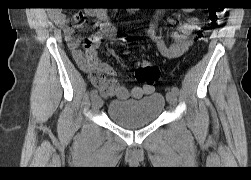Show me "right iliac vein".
Here are the masks:
<instances>
[{
	"instance_id": "right-iliac-vein-1",
	"label": "right iliac vein",
	"mask_w": 251,
	"mask_h": 180,
	"mask_svg": "<svg viewBox=\"0 0 251 180\" xmlns=\"http://www.w3.org/2000/svg\"><path fill=\"white\" fill-rule=\"evenodd\" d=\"M92 105L95 109H99L103 105V100L100 98V96L97 95L94 98H92Z\"/></svg>"
}]
</instances>
